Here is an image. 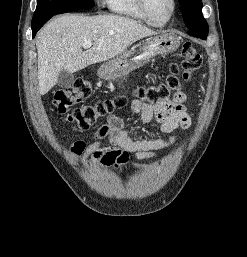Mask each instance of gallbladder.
<instances>
[{
    "label": "gallbladder",
    "mask_w": 247,
    "mask_h": 257,
    "mask_svg": "<svg viewBox=\"0 0 247 257\" xmlns=\"http://www.w3.org/2000/svg\"><path fill=\"white\" fill-rule=\"evenodd\" d=\"M74 83V75L66 70L59 73L57 85L61 88H68Z\"/></svg>",
    "instance_id": "obj_1"
}]
</instances>
